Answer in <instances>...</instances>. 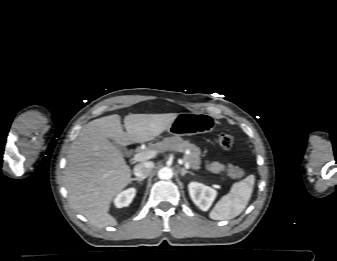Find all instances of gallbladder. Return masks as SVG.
I'll use <instances>...</instances> for the list:
<instances>
[{
    "instance_id": "obj_1",
    "label": "gallbladder",
    "mask_w": 337,
    "mask_h": 261,
    "mask_svg": "<svg viewBox=\"0 0 337 261\" xmlns=\"http://www.w3.org/2000/svg\"><path fill=\"white\" fill-rule=\"evenodd\" d=\"M118 148L119 150L122 152L123 155L127 154V149L124 146H120L118 144H116L115 142H113Z\"/></svg>"
}]
</instances>
